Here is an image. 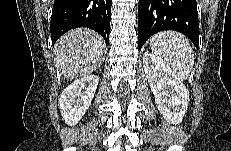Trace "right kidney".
Returning <instances> with one entry per match:
<instances>
[{"label": "right kidney", "instance_id": "1", "mask_svg": "<svg viewBox=\"0 0 231 151\" xmlns=\"http://www.w3.org/2000/svg\"><path fill=\"white\" fill-rule=\"evenodd\" d=\"M99 77L87 75L75 80L62 92L59 106L63 119L69 125L77 124L94 98Z\"/></svg>", "mask_w": 231, "mask_h": 151}]
</instances>
